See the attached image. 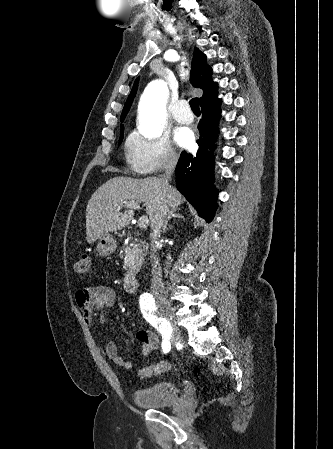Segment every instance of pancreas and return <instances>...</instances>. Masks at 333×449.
Returning a JSON list of instances; mask_svg holds the SVG:
<instances>
[{
  "instance_id": "cf45deb5",
  "label": "pancreas",
  "mask_w": 333,
  "mask_h": 449,
  "mask_svg": "<svg viewBox=\"0 0 333 449\" xmlns=\"http://www.w3.org/2000/svg\"><path fill=\"white\" fill-rule=\"evenodd\" d=\"M125 262L124 268H130L135 263H139L142 261V257L139 255V249L134 245H127L125 248Z\"/></svg>"
}]
</instances>
